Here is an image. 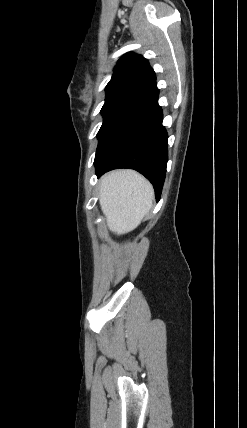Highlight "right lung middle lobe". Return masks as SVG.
<instances>
[{
	"label": "right lung middle lobe",
	"mask_w": 247,
	"mask_h": 428,
	"mask_svg": "<svg viewBox=\"0 0 247 428\" xmlns=\"http://www.w3.org/2000/svg\"><path fill=\"white\" fill-rule=\"evenodd\" d=\"M139 94L128 91L107 92L105 103L101 109L103 124L97 134L99 138L109 124L129 105Z\"/></svg>",
	"instance_id": "dd1d6c3e"
}]
</instances>
